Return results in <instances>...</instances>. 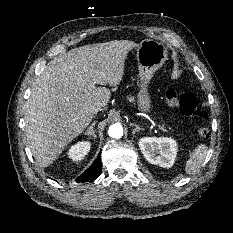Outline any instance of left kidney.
<instances>
[{
    "label": "left kidney",
    "instance_id": "left-kidney-1",
    "mask_svg": "<svg viewBox=\"0 0 233 233\" xmlns=\"http://www.w3.org/2000/svg\"><path fill=\"white\" fill-rule=\"evenodd\" d=\"M139 147L149 163L163 168L173 166L177 153V143L174 139L168 137H144L140 139Z\"/></svg>",
    "mask_w": 233,
    "mask_h": 233
}]
</instances>
